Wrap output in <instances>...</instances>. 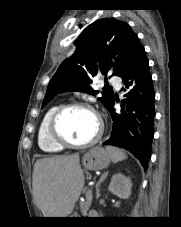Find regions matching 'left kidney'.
Returning <instances> with one entry per match:
<instances>
[{"label": "left kidney", "instance_id": "5707ae66", "mask_svg": "<svg viewBox=\"0 0 181 227\" xmlns=\"http://www.w3.org/2000/svg\"><path fill=\"white\" fill-rule=\"evenodd\" d=\"M132 183L130 178L122 173H116L112 176L108 189L114 195L122 199H127L131 195Z\"/></svg>", "mask_w": 181, "mask_h": 227}]
</instances>
